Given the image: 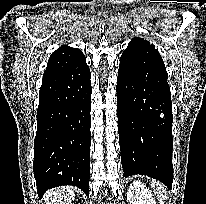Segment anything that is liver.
<instances>
[{"instance_id": "liver-1", "label": "liver", "mask_w": 206, "mask_h": 204, "mask_svg": "<svg viewBox=\"0 0 206 204\" xmlns=\"http://www.w3.org/2000/svg\"><path fill=\"white\" fill-rule=\"evenodd\" d=\"M75 198V188L62 186L57 190H49L44 195V204H72Z\"/></svg>"}]
</instances>
